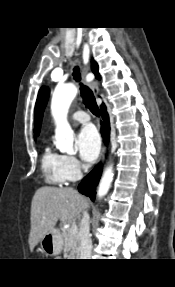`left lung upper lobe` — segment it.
Here are the masks:
<instances>
[{
    "label": "left lung upper lobe",
    "mask_w": 175,
    "mask_h": 287,
    "mask_svg": "<svg viewBox=\"0 0 175 287\" xmlns=\"http://www.w3.org/2000/svg\"><path fill=\"white\" fill-rule=\"evenodd\" d=\"M92 71L94 72L96 78H100V75L98 73V65L95 61H92ZM48 93L49 90L46 87H42L39 91L38 98L35 105V128L37 133L39 134L42 117H43V111L46 106L47 100H48Z\"/></svg>",
    "instance_id": "5c2ea615"
}]
</instances>
